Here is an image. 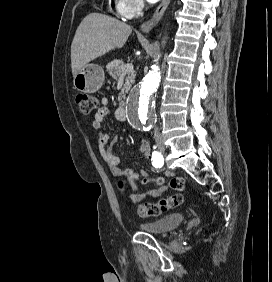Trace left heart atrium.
<instances>
[{
    "mask_svg": "<svg viewBox=\"0 0 272 282\" xmlns=\"http://www.w3.org/2000/svg\"><path fill=\"white\" fill-rule=\"evenodd\" d=\"M150 3H155L157 2L158 0H148Z\"/></svg>",
    "mask_w": 272,
    "mask_h": 282,
    "instance_id": "left-heart-atrium-1",
    "label": "left heart atrium"
}]
</instances>
